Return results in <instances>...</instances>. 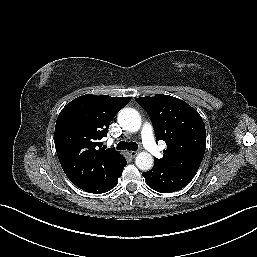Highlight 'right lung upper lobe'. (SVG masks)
Here are the masks:
<instances>
[{"instance_id":"cb5924a9","label":"right lung upper lobe","mask_w":257,"mask_h":257,"mask_svg":"<svg viewBox=\"0 0 257 257\" xmlns=\"http://www.w3.org/2000/svg\"><path fill=\"white\" fill-rule=\"evenodd\" d=\"M131 100L130 97L86 94L68 103L55 126V148L60 164L77 187L99 183L118 168L121 155L105 149L111 120Z\"/></svg>"}]
</instances>
